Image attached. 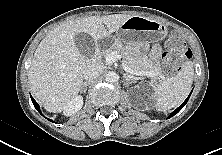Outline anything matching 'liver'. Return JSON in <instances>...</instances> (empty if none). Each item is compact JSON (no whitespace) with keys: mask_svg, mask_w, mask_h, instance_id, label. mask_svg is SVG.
<instances>
[{"mask_svg":"<svg viewBox=\"0 0 222 155\" xmlns=\"http://www.w3.org/2000/svg\"><path fill=\"white\" fill-rule=\"evenodd\" d=\"M131 17L113 14L77 19L57 26L42 39L34 53L28 80L31 91L45 110H64L81 90L83 71L93 63L78 51L74 36L86 33L94 41L109 38Z\"/></svg>","mask_w":222,"mask_h":155,"instance_id":"1","label":"liver"}]
</instances>
